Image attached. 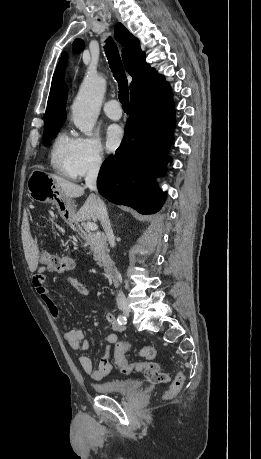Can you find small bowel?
Listing matches in <instances>:
<instances>
[{"label": "small bowel", "mask_w": 261, "mask_h": 459, "mask_svg": "<svg viewBox=\"0 0 261 459\" xmlns=\"http://www.w3.org/2000/svg\"><path fill=\"white\" fill-rule=\"evenodd\" d=\"M48 279V272L45 267H41L34 278V287L38 295L40 296L43 303L48 308L50 314L56 321H61V312L55 301V298L50 292V289L46 283ZM67 283L76 289L82 295H88V288L74 277H67ZM106 321L110 325L112 331L107 334L106 341L108 347L115 344L118 341V333L124 330V327L119 324L116 316L112 313L106 314ZM65 339L69 347L74 350L86 351L89 349V342L85 338L82 330H72L65 333ZM116 363L118 358L114 355ZM79 364L82 370L88 374L93 380L99 381L108 376L113 371V364L109 360V353L106 352L105 357L99 363L97 369L93 368L91 359L86 355L79 357Z\"/></svg>", "instance_id": "1"}]
</instances>
